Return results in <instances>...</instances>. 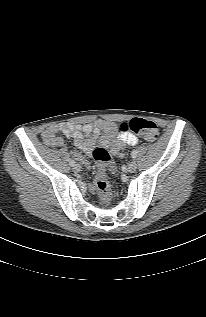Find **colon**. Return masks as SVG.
<instances>
[{"instance_id": "colon-1", "label": "colon", "mask_w": 206, "mask_h": 317, "mask_svg": "<svg viewBox=\"0 0 206 317\" xmlns=\"http://www.w3.org/2000/svg\"><path fill=\"white\" fill-rule=\"evenodd\" d=\"M122 132H134L140 135L147 141H154L157 139L159 131L155 122L143 118H133L128 122L120 125ZM93 158L97 165V172L95 175V187L100 193L101 198L105 202L110 201V185L106 177V167L111 163L110 153L103 147L94 149Z\"/></svg>"}]
</instances>
